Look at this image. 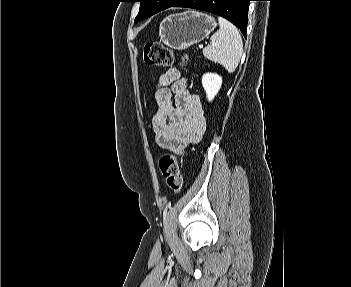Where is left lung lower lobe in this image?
I'll use <instances>...</instances> for the list:
<instances>
[{"instance_id": "obj_1", "label": "left lung lower lobe", "mask_w": 351, "mask_h": 287, "mask_svg": "<svg viewBox=\"0 0 351 287\" xmlns=\"http://www.w3.org/2000/svg\"><path fill=\"white\" fill-rule=\"evenodd\" d=\"M250 1L253 0H179L171 7L193 8L216 14L232 22L246 36Z\"/></svg>"}]
</instances>
